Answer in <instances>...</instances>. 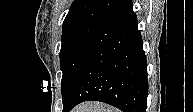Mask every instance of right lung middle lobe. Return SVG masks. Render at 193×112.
<instances>
[{
    "label": "right lung middle lobe",
    "mask_w": 193,
    "mask_h": 112,
    "mask_svg": "<svg viewBox=\"0 0 193 112\" xmlns=\"http://www.w3.org/2000/svg\"><path fill=\"white\" fill-rule=\"evenodd\" d=\"M115 32L87 26L64 31L60 51V68L63 72L61 86L63 103L81 68L91 55Z\"/></svg>",
    "instance_id": "1"
}]
</instances>
